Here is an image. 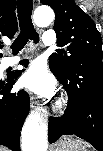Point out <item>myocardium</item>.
<instances>
[{
  "instance_id": "obj_1",
  "label": "myocardium",
  "mask_w": 103,
  "mask_h": 151,
  "mask_svg": "<svg viewBox=\"0 0 103 151\" xmlns=\"http://www.w3.org/2000/svg\"><path fill=\"white\" fill-rule=\"evenodd\" d=\"M66 108V101L64 98H59L55 105H54V110L58 113H63Z\"/></svg>"
}]
</instances>
